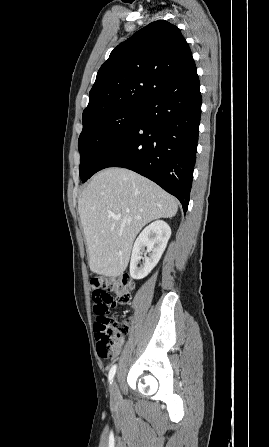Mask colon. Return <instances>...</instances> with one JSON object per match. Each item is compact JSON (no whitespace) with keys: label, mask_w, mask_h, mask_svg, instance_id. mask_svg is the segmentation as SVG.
<instances>
[{"label":"colon","mask_w":269,"mask_h":447,"mask_svg":"<svg viewBox=\"0 0 269 447\" xmlns=\"http://www.w3.org/2000/svg\"><path fill=\"white\" fill-rule=\"evenodd\" d=\"M87 288L97 315L93 324L97 352L100 357L108 358L122 345L130 330L129 319L116 318L112 310L129 304L134 281L127 273L116 277L92 276Z\"/></svg>","instance_id":"5ec220e1"}]
</instances>
